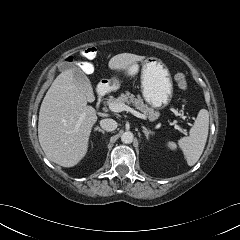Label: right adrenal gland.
I'll return each mask as SVG.
<instances>
[{"mask_svg":"<svg viewBox=\"0 0 240 240\" xmlns=\"http://www.w3.org/2000/svg\"><path fill=\"white\" fill-rule=\"evenodd\" d=\"M99 131V132H102L103 134H105V131L103 130V129H101L99 126H97L96 128H95V131Z\"/></svg>","mask_w":240,"mask_h":240,"instance_id":"right-adrenal-gland-1","label":"right adrenal gland"}]
</instances>
